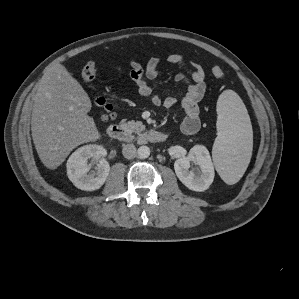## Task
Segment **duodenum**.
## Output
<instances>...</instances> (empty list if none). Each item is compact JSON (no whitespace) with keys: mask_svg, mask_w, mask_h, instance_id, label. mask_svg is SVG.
I'll use <instances>...</instances> for the list:
<instances>
[{"mask_svg":"<svg viewBox=\"0 0 299 299\" xmlns=\"http://www.w3.org/2000/svg\"><path fill=\"white\" fill-rule=\"evenodd\" d=\"M107 134L110 138L122 142H130L133 140V137L128 133V131L119 124H111L107 129ZM139 139L149 142L162 143L168 139V133L164 131L150 130L143 133Z\"/></svg>","mask_w":299,"mask_h":299,"instance_id":"obj_1","label":"duodenum"}]
</instances>
